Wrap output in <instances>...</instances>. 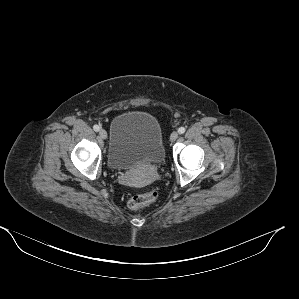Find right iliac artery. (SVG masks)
<instances>
[{"mask_svg":"<svg viewBox=\"0 0 299 299\" xmlns=\"http://www.w3.org/2000/svg\"><path fill=\"white\" fill-rule=\"evenodd\" d=\"M94 131L98 132L100 130V127L98 125L93 126Z\"/></svg>","mask_w":299,"mask_h":299,"instance_id":"82829eb1","label":"right iliac artery"}]
</instances>
